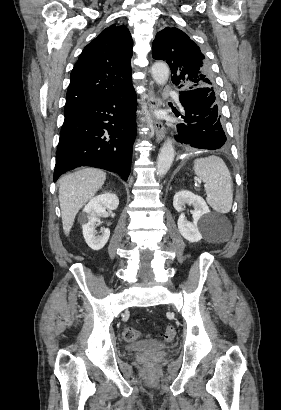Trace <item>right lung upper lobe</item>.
I'll use <instances>...</instances> for the list:
<instances>
[{"mask_svg":"<svg viewBox=\"0 0 281 410\" xmlns=\"http://www.w3.org/2000/svg\"><path fill=\"white\" fill-rule=\"evenodd\" d=\"M133 41L125 26L111 25L79 56L67 90L64 110L80 108L132 85Z\"/></svg>","mask_w":281,"mask_h":410,"instance_id":"right-lung-upper-lobe-1","label":"right lung upper lobe"}]
</instances>
